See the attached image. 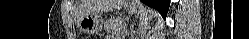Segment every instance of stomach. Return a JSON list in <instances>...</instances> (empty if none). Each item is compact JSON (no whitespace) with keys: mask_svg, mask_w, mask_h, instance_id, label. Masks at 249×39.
<instances>
[{"mask_svg":"<svg viewBox=\"0 0 249 39\" xmlns=\"http://www.w3.org/2000/svg\"><path fill=\"white\" fill-rule=\"evenodd\" d=\"M138 3L127 6V10L130 13H135L138 11ZM80 29L86 34H95L102 30L103 20L99 12H94L85 15L81 18L79 22Z\"/></svg>","mask_w":249,"mask_h":39,"instance_id":"0dacf381","label":"stomach"}]
</instances>
